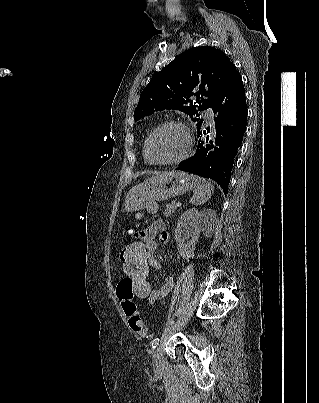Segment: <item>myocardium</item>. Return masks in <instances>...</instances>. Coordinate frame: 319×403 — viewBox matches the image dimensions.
Wrapping results in <instances>:
<instances>
[{"label": "myocardium", "mask_w": 319, "mask_h": 403, "mask_svg": "<svg viewBox=\"0 0 319 403\" xmlns=\"http://www.w3.org/2000/svg\"><path fill=\"white\" fill-rule=\"evenodd\" d=\"M167 126H175V127L180 128L183 131L185 138H186L185 149L180 156H178L174 159L163 160V161L155 160L152 158L151 153H150L151 142H152L154 136L157 134V132ZM192 148H193V138H192V135H191V132H190L188 126L185 123L178 121V120H166V121H163L162 123H160L159 125H157L148 135L146 142H145V155H146L147 160L151 164L172 165V164L181 163V162L185 161L187 158H189V156L192 153Z\"/></svg>", "instance_id": "1"}]
</instances>
